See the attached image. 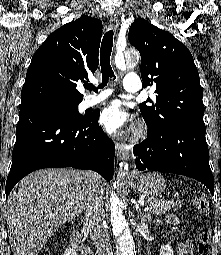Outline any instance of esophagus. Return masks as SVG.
<instances>
[{
  "label": "esophagus",
  "instance_id": "obj_1",
  "mask_svg": "<svg viewBox=\"0 0 221 255\" xmlns=\"http://www.w3.org/2000/svg\"><path fill=\"white\" fill-rule=\"evenodd\" d=\"M110 27L117 31L119 27V19L116 14H110ZM115 153L119 160H127L129 158V150L126 144L115 142Z\"/></svg>",
  "mask_w": 221,
  "mask_h": 255
}]
</instances>
